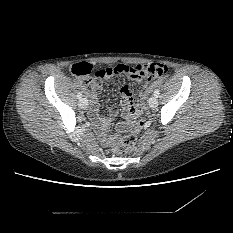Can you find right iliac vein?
<instances>
[{"instance_id": "right-iliac-vein-1", "label": "right iliac vein", "mask_w": 233, "mask_h": 233, "mask_svg": "<svg viewBox=\"0 0 233 233\" xmlns=\"http://www.w3.org/2000/svg\"><path fill=\"white\" fill-rule=\"evenodd\" d=\"M87 105H88V100L85 97L81 98L79 101V106L84 109L87 107Z\"/></svg>"}]
</instances>
